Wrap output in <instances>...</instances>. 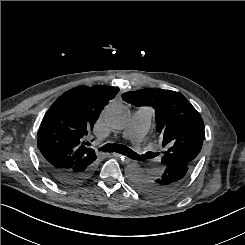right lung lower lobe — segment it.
Masks as SVG:
<instances>
[{
    "mask_svg": "<svg viewBox=\"0 0 245 245\" xmlns=\"http://www.w3.org/2000/svg\"><path fill=\"white\" fill-rule=\"evenodd\" d=\"M42 163L48 174L57 182L65 186H73L85 182L93 175L95 170V163L77 171L57 169L44 162Z\"/></svg>",
    "mask_w": 245,
    "mask_h": 245,
    "instance_id": "98d812e1",
    "label": "right lung lower lobe"
}]
</instances>
